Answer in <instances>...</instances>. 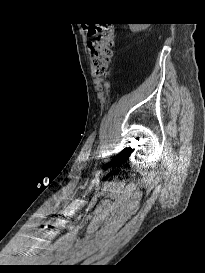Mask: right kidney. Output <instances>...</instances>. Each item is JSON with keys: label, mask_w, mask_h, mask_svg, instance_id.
Listing matches in <instances>:
<instances>
[{"label": "right kidney", "mask_w": 205, "mask_h": 273, "mask_svg": "<svg viewBox=\"0 0 205 273\" xmlns=\"http://www.w3.org/2000/svg\"><path fill=\"white\" fill-rule=\"evenodd\" d=\"M131 29H132V30H135V28H134V27H131Z\"/></svg>", "instance_id": "right-kidney-1"}]
</instances>
